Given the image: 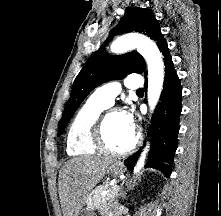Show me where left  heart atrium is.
Segmentation results:
<instances>
[{
	"label": "left heart atrium",
	"instance_id": "1",
	"mask_svg": "<svg viewBox=\"0 0 221 216\" xmlns=\"http://www.w3.org/2000/svg\"><path fill=\"white\" fill-rule=\"evenodd\" d=\"M123 119L127 125V127L134 132L135 130V117L132 111H125L122 113Z\"/></svg>",
	"mask_w": 221,
	"mask_h": 216
}]
</instances>
